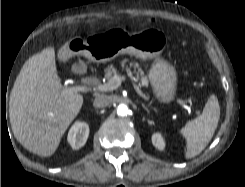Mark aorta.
Returning a JSON list of instances; mask_svg holds the SVG:
<instances>
[{"label":"aorta","instance_id":"aorta-1","mask_svg":"<svg viewBox=\"0 0 245 187\" xmlns=\"http://www.w3.org/2000/svg\"><path fill=\"white\" fill-rule=\"evenodd\" d=\"M129 113V109L125 104H120L117 108V114L119 116H126Z\"/></svg>","mask_w":245,"mask_h":187}]
</instances>
